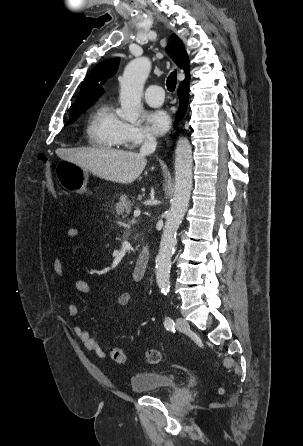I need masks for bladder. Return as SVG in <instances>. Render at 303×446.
Here are the masks:
<instances>
[{"instance_id": "31cf9c89", "label": "bladder", "mask_w": 303, "mask_h": 446, "mask_svg": "<svg viewBox=\"0 0 303 446\" xmlns=\"http://www.w3.org/2000/svg\"><path fill=\"white\" fill-rule=\"evenodd\" d=\"M177 385L173 376L148 371L134 375L130 380V387L135 394H150L157 391L169 390Z\"/></svg>"}]
</instances>
